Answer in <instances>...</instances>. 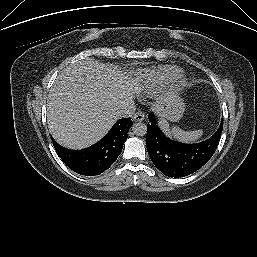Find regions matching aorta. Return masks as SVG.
Instances as JSON below:
<instances>
[{
	"label": "aorta",
	"mask_w": 257,
	"mask_h": 257,
	"mask_svg": "<svg viewBox=\"0 0 257 257\" xmlns=\"http://www.w3.org/2000/svg\"><path fill=\"white\" fill-rule=\"evenodd\" d=\"M132 131L137 136H144L147 133V126L142 122H138L132 126Z\"/></svg>",
	"instance_id": "obj_1"
}]
</instances>
